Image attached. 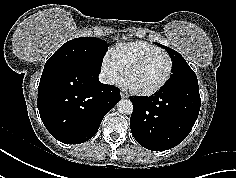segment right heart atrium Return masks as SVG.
<instances>
[{"label": "right heart atrium", "mask_w": 236, "mask_h": 178, "mask_svg": "<svg viewBox=\"0 0 236 178\" xmlns=\"http://www.w3.org/2000/svg\"><path fill=\"white\" fill-rule=\"evenodd\" d=\"M101 72L105 81L110 84H118L121 80V71L109 55L104 56L102 59Z\"/></svg>", "instance_id": "right-heart-atrium-1"}]
</instances>
